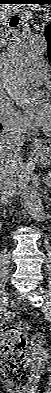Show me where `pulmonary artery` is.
I'll return each instance as SVG.
<instances>
[{
    "label": "pulmonary artery",
    "mask_w": 51,
    "mask_h": 393,
    "mask_svg": "<svg viewBox=\"0 0 51 393\" xmlns=\"http://www.w3.org/2000/svg\"><path fill=\"white\" fill-rule=\"evenodd\" d=\"M46 66L42 63H36L32 66L29 73L25 75L26 80L32 85H38L46 79Z\"/></svg>",
    "instance_id": "e3ab8cb5"
}]
</instances>
